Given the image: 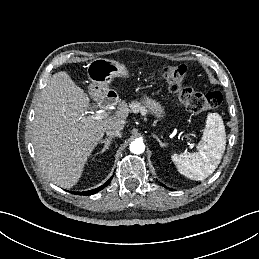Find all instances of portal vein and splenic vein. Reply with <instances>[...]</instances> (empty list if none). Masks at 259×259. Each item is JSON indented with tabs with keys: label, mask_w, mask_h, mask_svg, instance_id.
Here are the masks:
<instances>
[{
	"label": "portal vein and splenic vein",
	"mask_w": 259,
	"mask_h": 259,
	"mask_svg": "<svg viewBox=\"0 0 259 259\" xmlns=\"http://www.w3.org/2000/svg\"><path fill=\"white\" fill-rule=\"evenodd\" d=\"M107 116H108L107 113L99 111V112H97V113H95L92 116H89L87 118L93 119V120H101V119L106 118Z\"/></svg>",
	"instance_id": "obj_1"
}]
</instances>
